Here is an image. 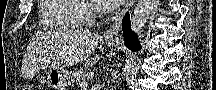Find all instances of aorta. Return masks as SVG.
Returning a JSON list of instances; mask_svg holds the SVG:
<instances>
[{"instance_id":"aorta-1","label":"aorta","mask_w":216,"mask_h":90,"mask_svg":"<svg viewBox=\"0 0 216 90\" xmlns=\"http://www.w3.org/2000/svg\"><path fill=\"white\" fill-rule=\"evenodd\" d=\"M154 8V0H138L131 18V30L140 36Z\"/></svg>"}]
</instances>
